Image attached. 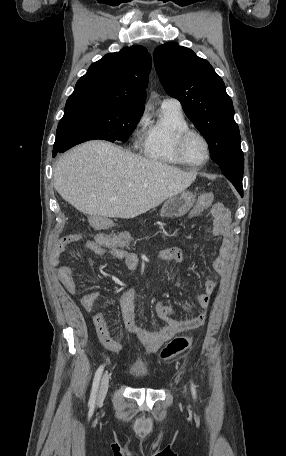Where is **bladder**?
I'll return each instance as SVG.
<instances>
[{"mask_svg": "<svg viewBox=\"0 0 286 456\" xmlns=\"http://www.w3.org/2000/svg\"><path fill=\"white\" fill-rule=\"evenodd\" d=\"M132 371H135L139 376H141L144 373V368L142 365L135 364L132 367Z\"/></svg>", "mask_w": 286, "mask_h": 456, "instance_id": "31cf9c89", "label": "bladder"}]
</instances>
